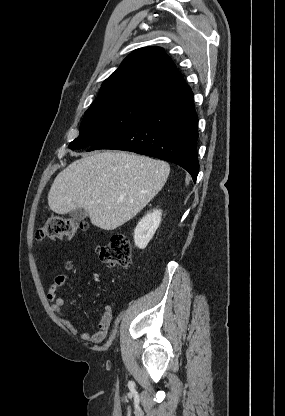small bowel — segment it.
<instances>
[{"label": "small bowel", "instance_id": "1", "mask_svg": "<svg viewBox=\"0 0 285 416\" xmlns=\"http://www.w3.org/2000/svg\"><path fill=\"white\" fill-rule=\"evenodd\" d=\"M78 280L79 277L77 275L58 274L54 277L53 282L48 286L46 290V297L48 301L52 303L51 310L57 321L73 335H76L78 331L72 324L70 317L65 313V301L62 297L57 295V289L63 286L67 281L75 282ZM112 319L113 308L110 305H106L98 324V330L95 333H90L88 331L83 332L81 334V339L94 344L103 342L108 335Z\"/></svg>", "mask_w": 285, "mask_h": 416}]
</instances>
